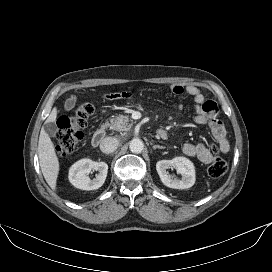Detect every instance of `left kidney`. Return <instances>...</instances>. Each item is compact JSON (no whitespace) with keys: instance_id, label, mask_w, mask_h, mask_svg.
I'll return each instance as SVG.
<instances>
[{"instance_id":"obj_1","label":"left kidney","mask_w":272,"mask_h":272,"mask_svg":"<svg viewBox=\"0 0 272 272\" xmlns=\"http://www.w3.org/2000/svg\"><path fill=\"white\" fill-rule=\"evenodd\" d=\"M169 168H175L182 176L181 179H175L168 174ZM157 173L162 183L174 189H188L195 183L194 164L185 157H175L172 160H160L156 163Z\"/></svg>"}]
</instances>
